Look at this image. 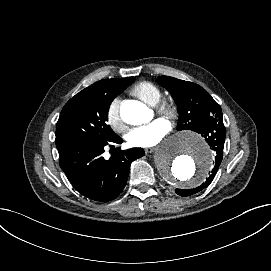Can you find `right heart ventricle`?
<instances>
[{
    "instance_id": "1",
    "label": "right heart ventricle",
    "mask_w": 271,
    "mask_h": 271,
    "mask_svg": "<svg viewBox=\"0 0 271 271\" xmlns=\"http://www.w3.org/2000/svg\"><path fill=\"white\" fill-rule=\"evenodd\" d=\"M132 94L151 106L157 105L162 98L161 89L150 81L137 83L132 88Z\"/></svg>"
}]
</instances>
